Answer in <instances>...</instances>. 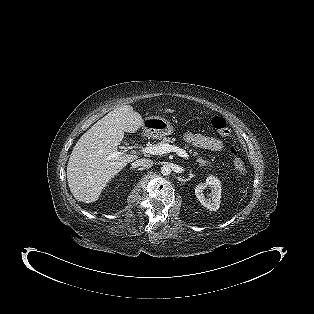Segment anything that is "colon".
Listing matches in <instances>:
<instances>
[{
    "label": "colon",
    "instance_id": "5ec220e1",
    "mask_svg": "<svg viewBox=\"0 0 314 314\" xmlns=\"http://www.w3.org/2000/svg\"><path fill=\"white\" fill-rule=\"evenodd\" d=\"M211 127L221 136L228 137L230 135L228 123L221 116L216 115L212 117ZM229 154L232 157L233 168L240 173H244L246 171V163L244 159L237 155V152L234 148L229 149Z\"/></svg>",
    "mask_w": 314,
    "mask_h": 314
}]
</instances>
